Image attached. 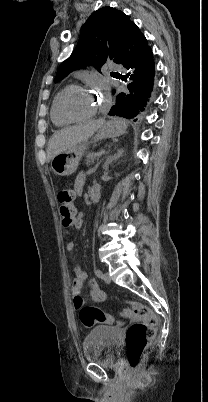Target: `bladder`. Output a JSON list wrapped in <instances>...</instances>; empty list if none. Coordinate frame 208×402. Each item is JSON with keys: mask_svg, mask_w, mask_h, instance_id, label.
I'll use <instances>...</instances> for the list:
<instances>
[{"mask_svg": "<svg viewBox=\"0 0 208 402\" xmlns=\"http://www.w3.org/2000/svg\"><path fill=\"white\" fill-rule=\"evenodd\" d=\"M119 347L120 337L117 329L95 326L84 341V358L91 359L94 363H114Z\"/></svg>", "mask_w": 208, "mask_h": 402, "instance_id": "1", "label": "bladder"}]
</instances>
